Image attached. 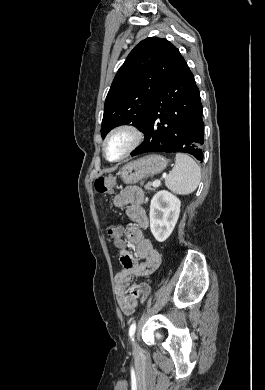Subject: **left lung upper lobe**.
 <instances>
[{"instance_id": "5c2ea615", "label": "left lung upper lobe", "mask_w": 265, "mask_h": 390, "mask_svg": "<svg viewBox=\"0 0 265 390\" xmlns=\"http://www.w3.org/2000/svg\"><path fill=\"white\" fill-rule=\"evenodd\" d=\"M180 58L179 50L166 39L150 37L135 46L106 97L102 138L114 127L130 122L143 131L152 100Z\"/></svg>"}]
</instances>
